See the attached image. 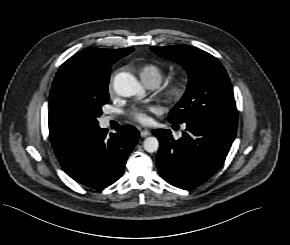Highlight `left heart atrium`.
Wrapping results in <instances>:
<instances>
[{"instance_id":"left-heart-atrium-1","label":"left heart atrium","mask_w":290,"mask_h":245,"mask_svg":"<svg viewBox=\"0 0 290 245\" xmlns=\"http://www.w3.org/2000/svg\"><path fill=\"white\" fill-rule=\"evenodd\" d=\"M156 111L157 108L154 106L136 107L131 111V116L142 124H148L150 122L149 113Z\"/></svg>"}]
</instances>
